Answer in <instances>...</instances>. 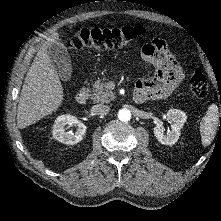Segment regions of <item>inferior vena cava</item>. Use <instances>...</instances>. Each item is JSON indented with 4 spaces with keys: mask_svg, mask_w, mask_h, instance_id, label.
Instances as JSON below:
<instances>
[{
    "mask_svg": "<svg viewBox=\"0 0 221 221\" xmlns=\"http://www.w3.org/2000/svg\"><path fill=\"white\" fill-rule=\"evenodd\" d=\"M92 111L97 115H106L110 111V107L104 104H97L92 107Z\"/></svg>",
    "mask_w": 221,
    "mask_h": 221,
    "instance_id": "1",
    "label": "inferior vena cava"
}]
</instances>
